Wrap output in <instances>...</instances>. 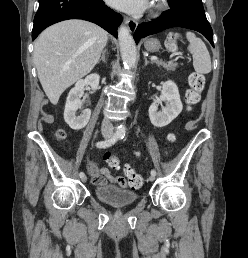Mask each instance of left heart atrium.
Instances as JSON below:
<instances>
[{
  "label": "left heart atrium",
  "mask_w": 248,
  "mask_h": 258,
  "mask_svg": "<svg viewBox=\"0 0 248 258\" xmlns=\"http://www.w3.org/2000/svg\"><path fill=\"white\" fill-rule=\"evenodd\" d=\"M114 8L131 14H140L149 5V0H106Z\"/></svg>",
  "instance_id": "1"
}]
</instances>
